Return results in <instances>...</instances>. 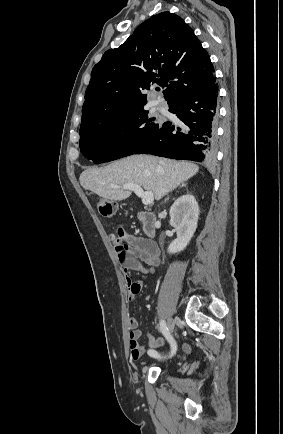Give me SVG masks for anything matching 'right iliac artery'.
Returning a JSON list of instances; mask_svg holds the SVG:
<instances>
[{
  "mask_svg": "<svg viewBox=\"0 0 283 434\" xmlns=\"http://www.w3.org/2000/svg\"><path fill=\"white\" fill-rule=\"evenodd\" d=\"M160 330L162 332V334L165 336V338L169 341L170 346H171V353L169 355V357L173 356L177 350V345L175 340L171 337V335L168 332V328L166 326V323L164 320L160 321ZM148 354L151 357L157 358V359H163L165 357L161 356L160 354H158V352H156L155 350H149Z\"/></svg>",
  "mask_w": 283,
  "mask_h": 434,
  "instance_id": "right-iliac-artery-1",
  "label": "right iliac artery"
}]
</instances>
